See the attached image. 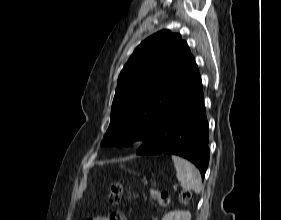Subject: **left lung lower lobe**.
I'll list each match as a JSON object with an SVG mask.
<instances>
[{
  "label": "left lung lower lobe",
  "mask_w": 281,
  "mask_h": 220,
  "mask_svg": "<svg viewBox=\"0 0 281 220\" xmlns=\"http://www.w3.org/2000/svg\"><path fill=\"white\" fill-rule=\"evenodd\" d=\"M208 142L202 82L197 71L164 115L153 138L136 153L179 155L194 163L204 178L209 162Z\"/></svg>",
  "instance_id": "0a47b994"
}]
</instances>
